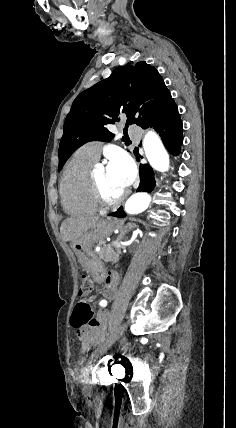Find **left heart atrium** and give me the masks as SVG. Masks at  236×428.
Here are the masks:
<instances>
[{"instance_id": "1", "label": "left heart atrium", "mask_w": 236, "mask_h": 428, "mask_svg": "<svg viewBox=\"0 0 236 428\" xmlns=\"http://www.w3.org/2000/svg\"><path fill=\"white\" fill-rule=\"evenodd\" d=\"M109 173L120 180L125 188L134 181L136 170L129 157L123 154L111 156L108 163Z\"/></svg>"}]
</instances>
